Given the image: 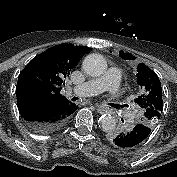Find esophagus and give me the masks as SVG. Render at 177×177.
<instances>
[{
	"instance_id": "34e87169",
	"label": "esophagus",
	"mask_w": 177,
	"mask_h": 177,
	"mask_svg": "<svg viewBox=\"0 0 177 177\" xmlns=\"http://www.w3.org/2000/svg\"><path fill=\"white\" fill-rule=\"evenodd\" d=\"M96 108L99 112H107L109 111V108L106 107L105 105H96Z\"/></svg>"
}]
</instances>
